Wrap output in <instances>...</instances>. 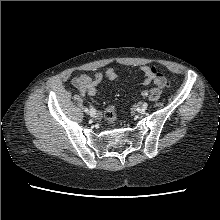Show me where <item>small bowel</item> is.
<instances>
[{
  "label": "small bowel",
  "instance_id": "small-bowel-1",
  "mask_svg": "<svg viewBox=\"0 0 220 220\" xmlns=\"http://www.w3.org/2000/svg\"><path fill=\"white\" fill-rule=\"evenodd\" d=\"M141 71L144 76L143 83L149 85L152 82L155 83L157 75H163L155 67L143 66ZM117 77L116 71L113 68H108L104 73H96L94 76L81 74L72 79V85L82 94L88 96H94L97 94V88L100 82L105 78L108 80H114Z\"/></svg>",
  "mask_w": 220,
  "mask_h": 220
}]
</instances>
